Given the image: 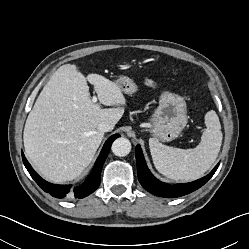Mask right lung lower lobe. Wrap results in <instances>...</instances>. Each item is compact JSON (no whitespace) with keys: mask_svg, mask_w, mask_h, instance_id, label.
Here are the masks:
<instances>
[{"mask_svg":"<svg viewBox=\"0 0 249 249\" xmlns=\"http://www.w3.org/2000/svg\"><path fill=\"white\" fill-rule=\"evenodd\" d=\"M119 137L118 134H115L111 136L106 143L104 144V147L96 160V163L94 165V168L90 175L86 178L85 182L74 189V196L75 198H84L94 192L99 184H100V178H101V171H102V166L105 162V159L109 153L110 147L112 142ZM22 159L23 163L30 173L31 177L35 180V182L45 191L50 193L53 197L56 198H63L66 196H70L72 192H69L71 185H56V184H51L48 183L47 181L43 180L31 167L29 162L26 160L23 152H22Z\"/></svg>","mask_w":249,"mask_h":249,"instance_id":"98d812e1","label":"right lung lower lobe"}]
</instances>
